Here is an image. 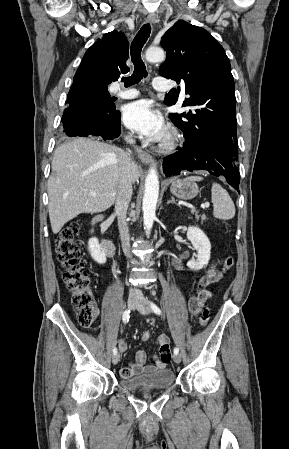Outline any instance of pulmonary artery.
Masks as SVG:
<instances>
[{
  "label": "pulmonary artery",
  "instance_id": "obj_1",
  "mask_svg": "<svg viewBox=\"0 0 289 449\" xmlns=\"http://www.w3.org/2000/svg\"><path fill=\"white\" fill-rule=\"evenodd\" d=\"M153 86L157 90H166L168 88V80L163 77H156L153 81ZM113 93L122 99H131L138 95V92L133 89L120 90L118 88H114Z\"/></svg>",
  "mask_w": 289,
  "mask_h": 449
}]
</instances>
